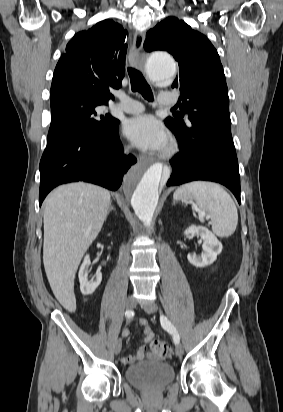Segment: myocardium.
I'll use <instances>...</instances> for the list:
<instances>
[{"label":"myocardium","mask_w":283,"mask_h":412,"mask_svg":"<svg viewBox=\"0 0 283 412\" xmlns=\"http://www.w3.org/2000/svg\"><path fill=\"white\" fill-rule=\"evenodd\" d=\"M176 151H177V146L174 142L171 141L161 153V157L170 158L176 153Z\"/></svg>","instance_id":"1"}]
</instances>
